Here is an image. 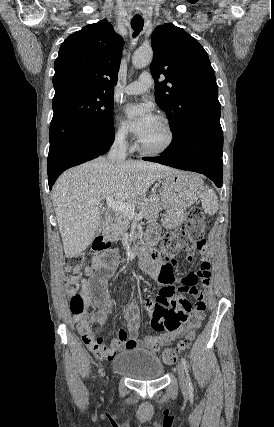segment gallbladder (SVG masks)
<instances>
[{"label": "gallbladder", "instance_id": "obj_1", "mask_svg": "<svg viewBox=\"0 0 274 427\" xmlns=\"http://www.w3.org/2000/svg\"><path fill=\"white\" fill-rule=\"evenodd\" d=\"M103 219H105L104 215H102V217H101V221H103Z\"/></svg>", "mask_w": 274, "mask_h": 427}]
</instances>
